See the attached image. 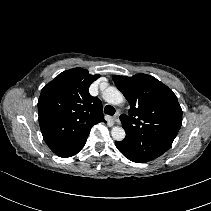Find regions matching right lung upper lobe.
I'll use <instances>...</instances> for the list:
<instances>
[{
	"label": "right lung upper lobe",
	"instance_id": "obj_1",
	"mask_svg": "<svg viewBox=\"0 0 211 211\" xmlns=\"http://www.w3.org/2000/svg\"><path fill=\"white\" fill-rule=\"evenodd\" d=\"M99 77L74 68L60 73L42 89L38 100L39 124L45 142L58 156L77 154L91 127L105 122L101 101L88 91Z\"/></svg>",
	"mask_w": 211,
	"mask_h": 211
}]
</instances>
